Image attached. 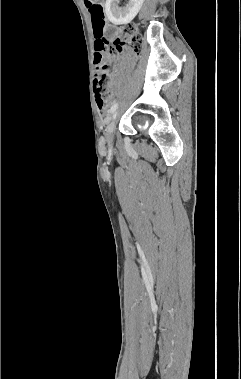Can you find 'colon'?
Masks as SVG:
<instances>
[{"instance_id":"5ec220e1","label":"colon","mask_w":241,"mask_h":379,"mask_svg":"<svg viewBox=\"0 0 241 379\" xmlns=\"http://www.w3.org/2000/svg\"><path fill=\"white\" fill-rule=\"evenodd\" d=\"M87 8L92 18L93 32L95 35V56L94 63L96 68L94 79V90L96 104L100 112L107 114L112 103V92L108 82L109 65L113 61L115 50L120 51L125 46H130L138 52L141 46V37L137 33L134 24H127L122 27L120 34L113 40V47L101 39L105 27L104 6L92 1H86Z\"/></svg>"}]
</instances>
